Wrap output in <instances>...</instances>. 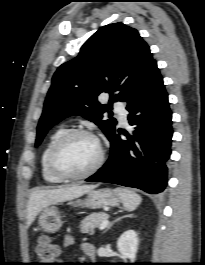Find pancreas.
Listing matches in <instances>:
<instances>
[{
  "instance_id": "1",
  "label": "pancreas",
  "mask_w": 205,
  "mask_h": 265,
  "mask_svg": "<svg viewBox=\"0 0 205 265\" xmlns=\"http://www.w3.org/2000/svg\"><path fill=\"white\" fill-rule=\"evenodd\" d=\"M107 218L108 214L104 212L89 214L81 221L80 231L82 233H92Z\"/></svg>"
}]
</instances>
